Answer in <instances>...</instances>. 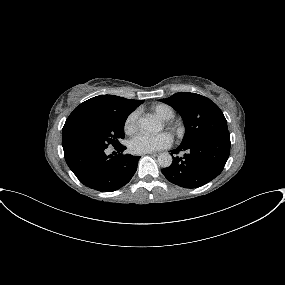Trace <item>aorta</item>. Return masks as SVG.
<instances>
[{"label": "aorta", "mask_w": 285, "mask_h": 285, "mask_svg": "<svg viewBox=\"0 0 285 285\" xmlns=\"http://www.w3.org/2000/svg\"><path fill=\"white\" fill-rule=\"evenodd\" d=\"M139 126L141 129L148 132H157L159 130L158 124L149 117L141 118L139 120ZM157 161L161 167L166 168L172 164V156L167 152L161 153L158 156Z\"/></svg>", "instance_id": "1"}]
</instances>
